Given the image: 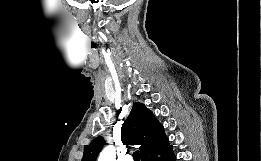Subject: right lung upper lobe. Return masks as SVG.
<instances>
[{
  "label": "right lung upper lobe",
  "instance_id": "1",
  "mask_svg": "<svg viewBox=\"0 0 261 161\" xmlns=\"http://www.w3.org/2000/svg\"><path fill=\"white\" fill-rule=\"evenodd\" d=\"M121 141L124 145H139L141 159L168 142L163 126L156 120L153 113L142 103H134L132 110L121 128ZM105 145L103 137L95 138L84 146L81 161H96Z\"/></svg>",
  "mask_w": 261,
  "mask_h": 161
}]
</instances>
